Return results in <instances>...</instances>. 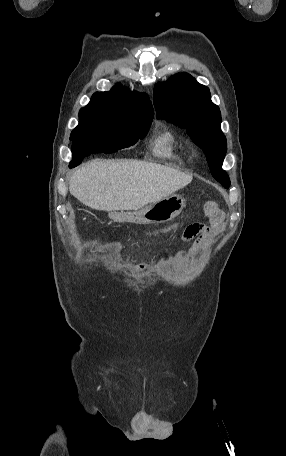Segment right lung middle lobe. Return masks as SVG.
Segmentation results:
<instances>
[{
  "mask_svg": "<svg viewBox=\"0 0 286 456\" xmlns=\"http://www.w3.org/2000/svg\"><path fill=\"white\" fill-rule=\"evenodd\" d=\"M152 118H131L108 111L82 108L79 124L72 131V161L69 167L79 165L92 153H113L144 139Z\"/></svg>",
  "mask_w": 286,
  "mask_h": 456,
  "instance_id": "right-lung-middle-lobe-1",
  "label": "right lung middle lobe"
}]
</instances>
